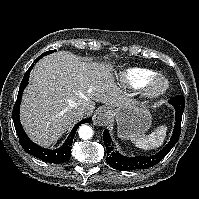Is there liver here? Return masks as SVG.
Returning <instances> with one entry per match:
<instances>
[{
  "instance_id": "liver-1",
  "label": "liver",
  "mask_w": 199,
  "mask_h": 199,
  "mask_svg": "<svg viewBox=\"0 0 199 199\" xmlns=\"http://www.w3.org/2000/svg\"><path fill=\"white\" fill-rule=\"evenodd\" d=\"M126 101L111 66L59 51L41 59L31 71L22 98L21 123L32 141L50 146L80 119L79 106H87L89 115L95 102L117 107Z\"/></svg>"
}]
</instances>
